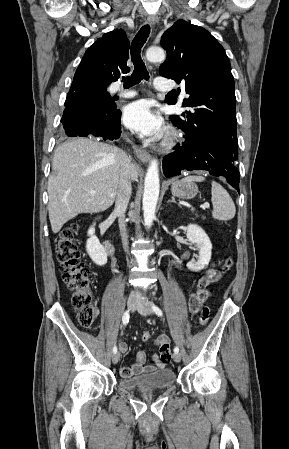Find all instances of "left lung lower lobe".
Segmentation results:
<instances>
[{
    "instance_id": "1",
    "label": "left lung lower lobe",
    "mask_w": 289,
    "mask_h": 449,
    "mask_svg": "<svg viewBox=\"0 0 289 449\" xmlns=\"http://www.w3.org/2000/svg\"><path fill=\"white\" fill-rule=\"evenodd\" d=\"M173 124L185 133V141L176 151L164 157L166 177L180 175L183 170H206L211 175L223 176L239 192L240 174L236 167L237 137L229 131L213 126L185 130L171 118Z\"/></svg>"
}]
</instances>
